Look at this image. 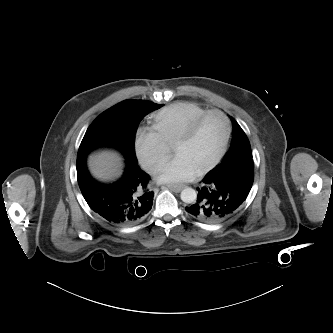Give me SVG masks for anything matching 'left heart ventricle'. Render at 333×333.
Here are the masks:
<instances>
[{
    "label": "left heart ventricle",
    "instance_id": "obj_1",
    "mask_svg": "<svg viewBox=\"0 0 333 333\" xmlns=\"http://www.w3.org/2000/svg\"><path fill=\"white\" fill-rule=\"evenodd\" d=\"M226 126L219 115L208 116L198 127L193 137L173 145L176 154H181L197 171L210 163L219 153Z\"/></svg>",
    "mask_w": 333,
    "mask_h": 333
}]
</instances>
